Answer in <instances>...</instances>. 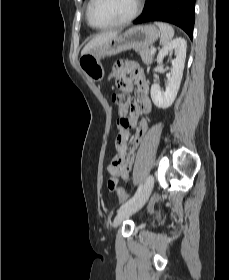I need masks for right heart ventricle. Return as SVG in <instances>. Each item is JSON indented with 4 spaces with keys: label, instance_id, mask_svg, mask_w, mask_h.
<instances>
[{
    "label": "right heart ventricle",
    "instance_id": "obj_1",
    "mask_svg": "<svg viewBox=\"0 0 229 280\" xmlns=\"http://www.w3.org/2000/svg\"><path fill=\"white\" fill-rule=\"evenodd\" d=\"M91 4H92V0H89L88 3H87V8H86L87 20H88V12H89V9H90Z\"/></svg>",
    "mask_w": 229,
    "mask_h": 280
}]
</instances>
